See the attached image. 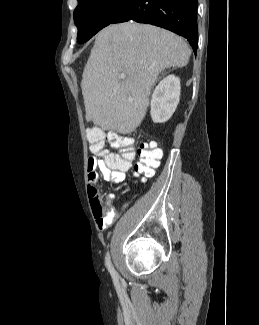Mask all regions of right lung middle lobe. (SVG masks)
<instances>
[{"mask_svg":"<svg viewBox=\"0 0 259 325\" xmlns=\"http://www.w3.org/2000/svg\"><path fill=\"white\" fill-rule=\"evenodd\" d=\"M127 0H78L74 22L78 28L77 42L84 43L111 23Z\"/></svg>","mask_w":259,"mask_h":325,"instance_id":"right-lung-middle-lobe-1","label":"right lung middle lobe"}]
</instances>
